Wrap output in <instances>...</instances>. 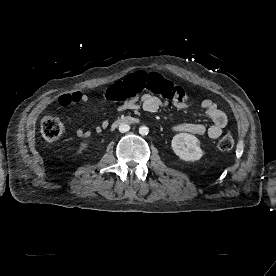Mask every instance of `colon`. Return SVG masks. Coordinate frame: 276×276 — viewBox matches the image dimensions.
<instances>
[{
	"instance_id": "5ec220e1",
	"label": "colon",
	"mask_w": 276,
	"mask_h": 276,
	"mask_svg": "<svg viewBox=\"0 0 276 276\" xmlns=\"http://www.w3.org/2000/svg\"><path fill=\"white\" fill-rule=\"evenodd\" d=\"M147 92L153 96H160L175 104L187 105L189 95L179 86L165 80L158 74L136 72L127 80L111 87L106 92V97L112 101H123L134 98ZM41 133L47 142L57 141L64 133L62 121L54 115H46L41 120ZM234 146V137L232 133L224 134L218 143L221 151H230Z\"/></svg>"
}]
</instances>
